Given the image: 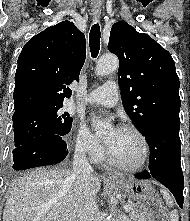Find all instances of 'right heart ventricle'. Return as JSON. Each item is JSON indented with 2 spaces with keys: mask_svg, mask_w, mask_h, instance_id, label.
I'll return each instance as SVG.
<instances>
[{
  "mask_svg": "<svg viewBox=\"0 0 190 221\" xmlns=\"http://www.w3.org/2000/svg\"><path fill=\"white\" fill-rule=\"evenodd\" d=\"M95 161H97V162H103V161H105L104 155H103V154L100 155L98 158L95 159Z\"/></svg>",
  "mask_w": 190,
  "mask_h": 221,
  "instance_id": "1",
  "label": "right heart ventricle"
}]
</instances>
